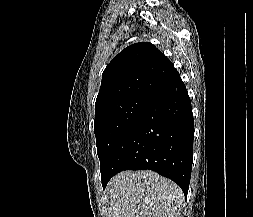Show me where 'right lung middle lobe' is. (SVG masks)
<instances>
[{"mask_svg": "<svg viewBox=\"0 0 253 217\" xmlns=\"http://www.w3.org/2000/svg\"><path fill=\"white\" fill-rule=\"evenodd\" d=\"M148 103L149 100L130 98L112 103L95 113L94 133L101 175L120 136Z\"/></svg>", "mask_w": 253, "mask_h": 217, "instance_id": "dd1d6c3e", "label": "right lung middle lobe"}]
</instances>
